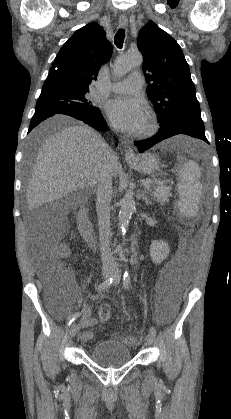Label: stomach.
<instances>
[{
    "label": "stomach",
    "instance_id": "0dacf381",
    "mask_svg": "<svg viewBox=\"0 0 231 419\" xmlns=\"http://www.w3.org/2000/svg\"><path fill=\"white\" fill-rule=\"evenodd\" d=\"M128 163L141 174L151 177H156L160 172V159L154 153L140 154L134 160H128Z\"/></svg>",
    "mask_w": 231,
    "mask_h": 419
}]
</instances>
